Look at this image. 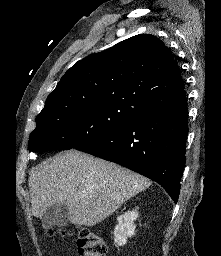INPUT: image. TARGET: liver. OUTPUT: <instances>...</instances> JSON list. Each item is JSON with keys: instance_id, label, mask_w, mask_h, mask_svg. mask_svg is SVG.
Returning a JSON list of instances; mask_svg holds the SVG:
<instances>
[{"instance_id": "obj_1", "label": "liver", "mask_w": 221, "mask_h": 256, "mask_svg": "<svg viewBox=\"0 0 221 256\" xmlns=\"http://www.w3.org/2000/svg\"><path fill=\"white\" fill-rule=\"evenodd\" d=\"M32 214L42 217L54 204L68 207V220L94 226L151 184L147 178L115 163L77 150L56 155L29 176Z\"/></svg>"}]
</instances>
